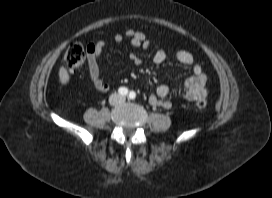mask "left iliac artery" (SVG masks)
I'll return each mask as SVG.
<instances>
[{
  "label": "left iliac artery",
  "instance_id": "left-iliac-artery-1",
  "mask_svg": "<svg viewBox=\"0 0 272 198\" xmlns=\"http://www.w3.org/2000/svg\"><path fill=\"white\" fill-rule=\"evenodd\" d=\"M135 97H136L135 92L131 91V92L129 93V98H130V99H135Z\"/></svg>",
  "mask_w": 272,
  "mask_h": 198
}]
</instances>
